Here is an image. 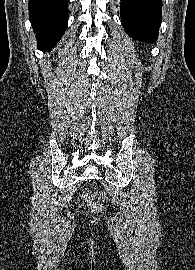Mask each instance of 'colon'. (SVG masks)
Returning <instances> with one entry per match:
<instances>
[{
  "instance_id": "5ec220e1",
  "label": "colon",
  "mask_w": 195,
  "mask_h": 270,
  "mask_svg": "<svg viewBox=\"0 0 195 270\" xmlns=\"http://www.w3.org/2000/svg\"><path fill=\"white\" fill-rule=\"evenodd\" d=\"M102 197H104L103 195H101ZM81 200L85 201L87 203L88 209L92 212V213H97L100 210V204L96 201H93L91 199V196L89 194H82L80 197Z\"/></svg>"
}]
</instances>
